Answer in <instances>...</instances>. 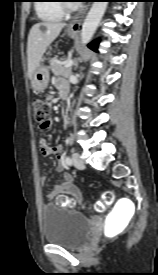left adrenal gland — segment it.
<instances>
[{
    "mask_svg": "<svg viewBox=\"0 0 158 275\" xmlns=\"http://www.w3.org/2000/svg\"><path fill=\"white\" fill-rule=\"evenodd\" d=\"M73 65H74V69L76 70L77 67H78V62H77V60H75V61L73 62Z\"/></svg>",
    "mask_w": 158,
    "mask_h": 275,
    "instance_id": "1",
    "label": "left adrenal gland"
}]
</instances>
